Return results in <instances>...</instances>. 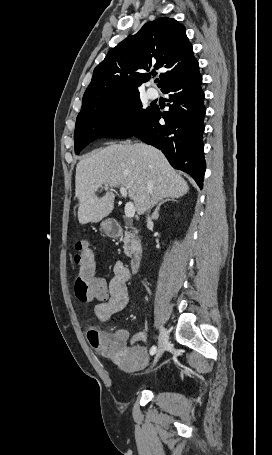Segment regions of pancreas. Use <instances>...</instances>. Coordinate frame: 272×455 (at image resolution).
<instances>
[{
  "mask_svg": "<svg viewBox=\"0 0 272 455\" xmlns=\"http://www.w3.org/2000/svg\"><path fill=\"white\" fill-rule=\"evenodd\" d=\"M140 248V240L134 238V235L126 231L124 236V253L131 257Z\"/></svg>",
  "mask_w": 272,
  "mask_h": 455,
  "instance_id": "pancreas-1",
  "label": "pancreas"
}]
</instances>
